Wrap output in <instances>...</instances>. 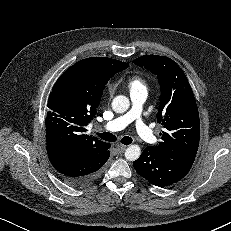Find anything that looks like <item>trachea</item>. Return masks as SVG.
Segmentation results:
<instances>
[{"instance_id":"obj_1","label":"trachea","mask_w":231,"mask_h":231,"mask_svg":"<svg viewBox=\"0 0 231 231\" xmlns=\"http://www.w3.org/2000/svg\"><path fill=\"white\" fill-rule=\"evenodd\" d=\"M97 136H99L102 140L108 141V142H116L117 137L109 132H103V133H96ZM132 138L129 136H125L121 139V143L124 145H129L132 143Z\"/></svg>"}]
</instances>
